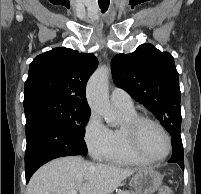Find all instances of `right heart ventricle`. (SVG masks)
Masks as SVG:
<instances>
[{
    "instance_id": "e07e8e85",
    "label": "right heart ventricle",
    "mask_w": 201,
    "mask_h": 194,
    "mask_svg": "<svg viewBox=\"0 0 201 194\" xmlns=\"http://www.w3.org/2000/svg\"><path fill=\"white\" fill-rule=\"evenodd\" d=\"M123 116V124L113 127L110 130V147L102 157L105 161L117 165H145L148 162L141 159L131 149L125 124L138 116L135 109L117 108Z\"/></svg>"
}]
</instances>
